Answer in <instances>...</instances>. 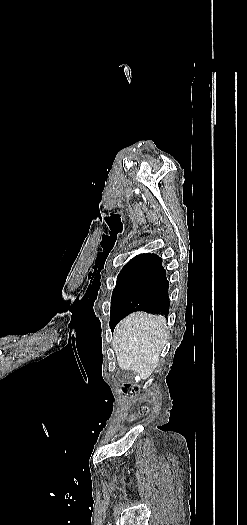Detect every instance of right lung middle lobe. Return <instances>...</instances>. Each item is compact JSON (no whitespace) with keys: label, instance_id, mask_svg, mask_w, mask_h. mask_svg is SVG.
<instances>
[{"label":"right lung middle lobe","instance_id":"right-lung-middle-lobe-1","mask_svg":"<svg viewBox=\"0 0 247 525\" xmlns=\"http://www.w3.org/2000/svg\"><path fill=\"white\" fill-rule=\"evenodd\" d=\"M156 258H153L145 267L120 272L111 298L110 326L119 318L121 313L120 309L124 301L134 290L137 283L148 272Z\"/></svg>","mask_w":247,"mask_h":525}]
</instances>
